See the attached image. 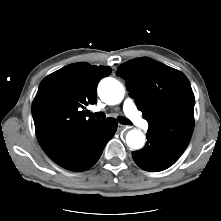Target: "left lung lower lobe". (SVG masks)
I'll return each instance as SVG.
<instances>
[{
  "label": "left lung lower lobe",
  "instance_id": "obj_1",
  "mask_svg": "<svg viewBox=\"0 0 221 221\" xmlns=\"http://www.w3.org/2000/svg\"><path fill=\"white\" fill-rule=\"evenodd\" d=\"M146 136L145 147L132 153L135 163L146 171L167 169L178 160L185 150L160 136L150 133H147Z\"/></svg>",
  "mask_w": 221,
  "mask_h": 221
}]
</instances>
